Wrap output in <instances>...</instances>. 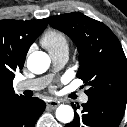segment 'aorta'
<instances>
[{"label": "aorta", "instance_id": "obj_1", "mask_svg": "<svg viewBox=\"0 0 127 127\" xmlns=\"http://www.w3.org/2000/svg\"><path fill=\"white\" fill-rule=\"evenodd\" d=\"M50 57L42 51H35L28 56L27 67L35 74H42L50 66ZM56 118L62 123H70L74 118V110L69 105H60L56 109Z\"/></svg>", "mask_w": 127, "mask_h": 127}]
</instances>
